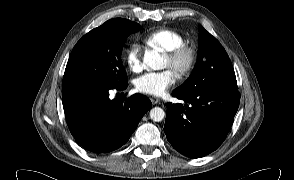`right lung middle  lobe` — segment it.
Here are the masks:
<instances>
[{"label":"right lung middle lobe","instance_id":"obj_1","mask_svg":"<svg viewBox=\"0 0 294 180\" xmlns=\"http://www.w3.org/2000/svg\"><path fill=\"white\" fill-rule=\"evenodd\" d=\"M141 26L108 23L84 35L74 46L66 65L62 88L79 84H101L110 88L128 83L121 62L125 39Z\"/></svg>","mask_w":294,"mask_h":180}]
</instances>
